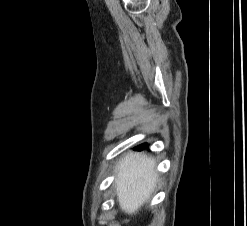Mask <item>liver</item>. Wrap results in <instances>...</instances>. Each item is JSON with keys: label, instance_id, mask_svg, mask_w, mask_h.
I'll return each instance as SVG.
<instances>
[{"label": "liver", "instance_id": "obj_1", "mask_svg": "<svg viewBox=\"0 0 247 226\" xmlns=\"http://www.w3.org/2000/svg\"><path fill=\"white\" fill-rule=\"evenodd\" d=\"M154 168V159L140 153L128 154L117 164L114 184L125 213H136L149 201L158 181Z\"/></svg>", "mask_w": 247, "mask_h": 226}]
</instances>
